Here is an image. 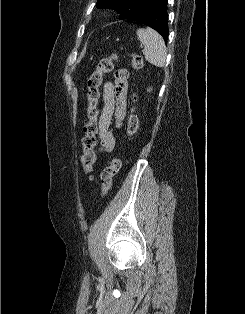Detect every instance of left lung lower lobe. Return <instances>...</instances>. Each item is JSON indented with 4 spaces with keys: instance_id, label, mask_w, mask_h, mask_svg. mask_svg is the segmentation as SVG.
I'll return each mask as SVG.
<instances>
[{
    "instance_id": "left-lung-lower-lobe-1",
    "label": "left lung lower lobe",
    "mask_w": 245,
    "mask_h": 314,
    "mask_svg": "<svg viewBox=\"0 0 245 314\" xmlns=\"http://www.w3.org/2000/svg\"><path fill=\"white\" fill-rule=\"evenodd\" d=\"M129 20L145 24L158 31L164 41L168 38L167 0H145L138 12Z\"/></svg>"
}]
</instances>
